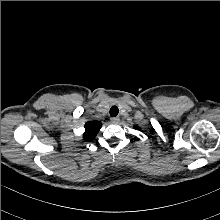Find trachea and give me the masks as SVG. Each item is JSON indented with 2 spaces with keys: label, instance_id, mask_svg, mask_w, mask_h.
I'll use <instances>...</instances> for the list:
<instances>
[{
  "label": "trachea",
  "instance_id": "3493384b",
  "mask_svg": "<svg viewBox=\"0 0 220 220\" xmlns=\"http://www.w3.org/2000/svg\"><path fill=\"white\" fill-rule=\"evenodd\" d=\"M118 113H119V109H118L117 106H112V107L110 108V115H111L112 117L117 116Z\"/></svg>",
  "mask_w": 220,
  "mask_h": 220
}]
</instances>
